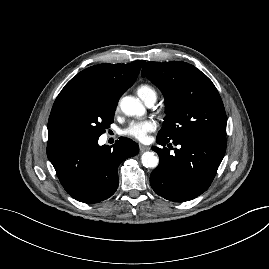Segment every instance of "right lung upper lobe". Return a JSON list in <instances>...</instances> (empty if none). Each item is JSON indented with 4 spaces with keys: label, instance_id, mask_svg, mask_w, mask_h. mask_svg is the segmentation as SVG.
I'll list each match as a JSON object with an SVG mask.
<instances>
[{
    "label": "right lung upper lobe",
    "instance_id": "right-lung-upper-lobe-1",
    "mask_svg": "<svg viewBox=\"0 0 269 269\" xmlns=\"http://www.w3.org/2000/svg\"><path fill=\"white\" fill-rule=\"evenodd\" d=\"M145 61L130 64H99L91 66L72 78L59 93L48 120L47 146L70 140L61 130L57 120L60 101L70 93H92L116 102L138 77Z\"/></svg>",
    "mask_w": 269,
    "mask_h": 269
}]
</instances>
